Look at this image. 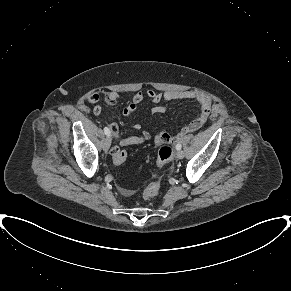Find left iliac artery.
<instances>
[{
	"mask_svg": "<svg viewBox=\"0 0 291 291\" xmlns=\"http://www.w3.org/2000/svg\"><path fill=\"white\" fill-rule=\"evenodd\" d=\"M181 147H182V145H181L180 143H178V144L176 145V149H177V150H180Z\"/></svg>",
	"mask_w": 291,
	"mask_h": 291,
	"instance_id": "left-iliac-artery-1",
	"label": "left iliac artery"
}]
</instances>
